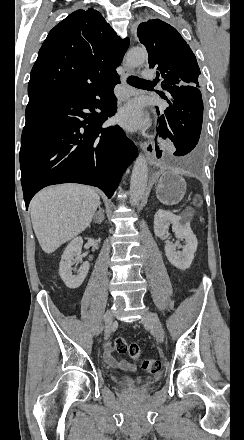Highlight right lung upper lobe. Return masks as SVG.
Masks as SVG:
<instances>
[{"label": "right lung upper lobe", "mask_w": 244, "mask_h": 440, "mask_svg": "<svg viewBox=\"0 0 244 440\" xmlns=\"http://www.w3.org/2000/svg\"><path fill=\"white\" fill-rule=\"evenodd\" d=\"M129 39H121L93 8L56 25L39 50L28 84L30 97L76 92L116 74Z\"/></svg>", "instance_id": "cb5924a9"}]
</instances>
